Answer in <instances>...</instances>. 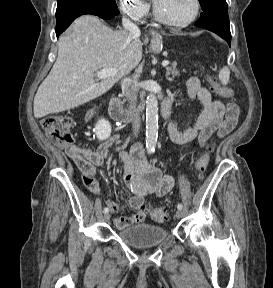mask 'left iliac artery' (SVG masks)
Segmentation results:
<instances>
[{"mask_svg": "<svg viewBox=\"0 0 273 288\" xmlns=\"http://www.w3.org/2000/svg\"><path fill=\"white\" fill-rule=\"evenodd\" d=\"M177 208L181 210V209L183 208V205H182L181 203H179V204L177 205Z\"/></svg>", "mask_w": 273, "mask_h": 288, "instance_id": "obj_1", "label": "left iliac artery"}]
</instances>
